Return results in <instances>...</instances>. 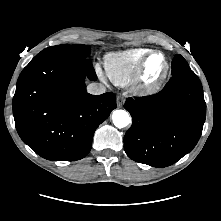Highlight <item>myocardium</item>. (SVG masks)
I'll return each mask as SVG.
<instances>
[{
    "label": "myocardium",
    "instance_id": "1",
    "mask_svg": "<svg viewBox=\"0 0 221 221\" xmlns=\"http://www.w3.org/2000/svg\"><path fill=\"white\" fill-rule=\"evenodd\" d=\"M156 54L163 56L165 61L164 71L152 81H149L146 76L147 64L150 58ZM170 72V62L166 54L160 50H151L140 62L137 72L133 78L135 89L142 94H153L157 92L163 85Z\"/></svg>",
    "mask_w": 221,
    "mask_h": 221
}]
</instances>
